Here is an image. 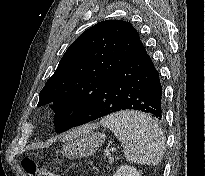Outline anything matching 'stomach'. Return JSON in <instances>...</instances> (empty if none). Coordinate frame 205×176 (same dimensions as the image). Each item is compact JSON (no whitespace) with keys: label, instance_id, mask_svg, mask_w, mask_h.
Masks as SVG:
<instances>
[{"label":"stomach","instance_id":"stomach-1","mask_svg":"<svg viewBox=\"0 0 205 176\" xmlns=\"http://www.w3.org/2000/svg\"><path fill=\"white\" fill-rule=\"evenodd\" d=\"M77 136L69 139L61 153L68 159L88 157L94 154L105 141L106 135L102 132H93L94 125L85 126Z\"/></svg>","mask_w":205,"mask_h":176}]
</instances>
